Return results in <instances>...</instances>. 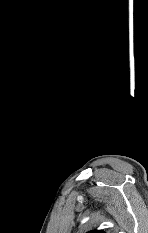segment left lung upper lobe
<instances>
[{"label": "left lung upper lobe", "mask_w": 148, "mask_h": 233, "mask_svg": "<svg viewBox=\"0 0 148 233\" xmlns=\"http://www.w3.org/2000/svg\"><path fill=\"white\" fill-rule=\"evenodd\" d=\"M88 233H104V232H102L100 230H92V231H89Z\"/></svg>", "instance_id": "5c2ea615"}]
</instances>
